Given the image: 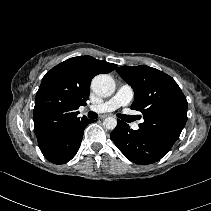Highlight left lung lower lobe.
Listing matches in <instances>:
<instances>
[{
	"mask_svg": "<svg viewBox=\"0 0 211 211\" xmlns=\"http://www.w3.org/2000/svg\"><path fill=\"white\" fill-rule=\"evenodd\" d=\"M118 125L110 137L119 150L131 162L147 165L159 161L170 150L163 146L151 134L138 129L132 130L129 125L117 120Z\"/></svg>",
	"mask_w": 211,
	"mask_h": 211,
	"instance_id": "obj_1",
	"label": "left lung lower lobe"
}]
</instances>
